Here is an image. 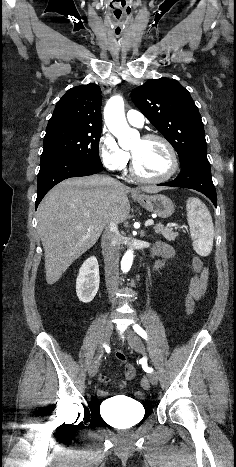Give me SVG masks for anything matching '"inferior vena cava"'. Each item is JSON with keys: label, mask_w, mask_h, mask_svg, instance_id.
<instances>
[{"label": "inferior vena cava", "mask_w": 236, "mask_h": 467, "mask_svg": "<svg viewBox=\"0 0 236 467\" xmlns=\"http://www.w3.org/2000/svg\"><path fill=\"white\" fill-rule=\"evenodd\" d=\"M120 233L117 223L111 222L105 227L102 235V253L105 262V281L109 293L113 297L114 291L118 288L119 279V245ZM115 302V299H112Z\"/></svg>", "instance_id": "602c4592"}]
</instances>
